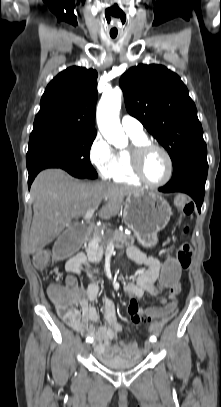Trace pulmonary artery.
<instances>
[{"label": "pulmonary artery", "instance_id": "e3ab8cb5", "mask_svg": "<svg viewBox=\"0 0 221 407\" xmlns=\"http://www.w3.org/2000/svg\"><path fill=\"white\" fill-rule=\"evenodd\" d=\"M121 125L127 134H132V135H143L144 134L143 125L141 124V122L130 115H124L122 117Z\"/></svg>", "mask_w": 221, "mask_h": 407}]
</instances>
